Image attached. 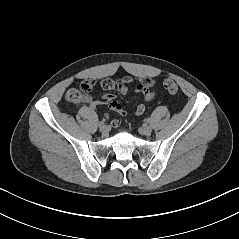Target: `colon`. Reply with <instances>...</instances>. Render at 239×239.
I'll list each match as a JSON object with an SVG mask.
<instances>
[{
  "label": "colon",
  "instance_id": "obj_1",
  "mask_svg": "<svg viewBox=\"0 0 239 239\" xmlns=\"http://www.w3.org/2000/svg\"><path fill=\"white\" fill-rule=\"evenodd\" d=\"M164 89L170 94H176L178 92V85L175 81L167 79L163 82ZM93 88L91 82H87L81 85L80 89H71L66 94V100L74 105H79L82 102L87 101L88 93Z\"/></svg>",
  "mask_w": 239,
  "mask_h": 239
}]
</instances>
